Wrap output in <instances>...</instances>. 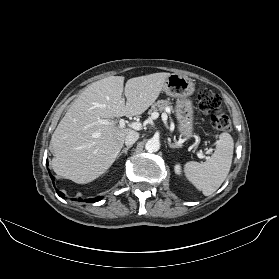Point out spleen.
<instances>
[{
	"instance_id": "spleen-1",
	"label": "spleen",
	"mask_w": 279,
	"mask_h": 279,
	"mask_svg": "<svg viewBox=\"0 0 279 279\" xmlns=\"http://www.w3.org/2000/svg\"><path fill=\"white\" fill-rule=\"evenodd\" d=\"M234 142L229 133H221L215 152L205 162L184 165L186 178L205 196L213 194L226 179L233 158Z\"/></svg>"
}]
</instances>
